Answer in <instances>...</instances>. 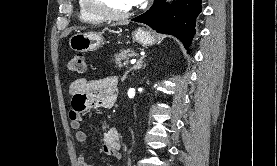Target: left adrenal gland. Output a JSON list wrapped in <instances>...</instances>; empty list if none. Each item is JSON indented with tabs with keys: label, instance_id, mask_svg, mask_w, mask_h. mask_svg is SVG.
Instances as JSON below:
<instances>
[{
	"label": "left adrenal gland",
	"instance_id": "left-adrenal-gland-1",
	"mask_svg": "<svg viewBox=\"0 0 277 166\" xmlns=\"http://www.w3.org/2000/svg\"><path fill=\"white\" fill-rule=\"evenodd\" d=\"M147 57V55H144L142 57H140V59L136 62V64H134L129 70H127L125 72V74L123 75V80H125L127 78V75L132 71V70H138L141 69L142 67H145L144 64V59Z\"/></svg>",
	"mask_w": 277,
	"mask_h": 166
}]
</instances>
